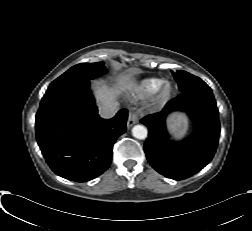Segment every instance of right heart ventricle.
<instances>
[{
    "mask_svg": "<svg viewBox=\"0 0 252 231\" xmlns=\"http://www.w3.org/2000/svg\"><path fill=\"white\" fill-rule=\"evenodd\" d=\"M162 79L159 78H146L139 81L132 88V94L136 99H142L155 93L162 83Z\"/></svg>",
    "mask_w": 252,
    "mask_h": 231,
    "instance_id": "e07e8e85",
    "label": "right heart ventricle"
}]
</instances>
